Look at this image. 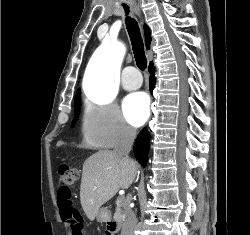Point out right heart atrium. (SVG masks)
<instances>
[{"mask_svg": "<svg viewBox=\"0 0 250 235\" xmlns=\"http://www.w3.org/2000/svg\"><path fill=\"white\" fill-rule=\"evenodd\" d=\"M81 135L89 145L114 148L133 142L136 130L115 104L88 102L83 111Z\"/></svg>", "mask_w": 250, "mask_h": 235, "instance_id": "right-heart-atrium-1", "label": "right heart atrium"}]
</instances>
